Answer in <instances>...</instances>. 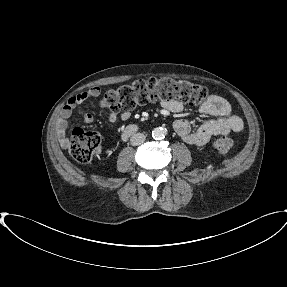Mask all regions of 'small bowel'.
<instances>
[{
	"label": "small bowel",
	"instance_id": "c3829d8e",
	"mask_svg": "<svg viewBox=\"0 0 287 287\" xmlns=\"http://www.w3.org/2000/svg\"><path fill=\"white\" fill-rule=\"evenodd\" d=\"M100 92L98 87L81 92L71 97L63 107L56 123L57 137L63 146L68 144L66 137L68 119L72 116L74 109L88 98L99 96ZM162 106L170 112H179L182 110V104L175 100L163 101ZM200 109L202 112L215 118L205 122L196 130H192L190 123L185 119H179L174 122V130L177 135L190 145L201 147L213 136L226 135L229 132H240L243 129L242 119L233 113L228 101L220 96H212ZM130 116L131 113L127 110L121 113L112 111L108 115V120L110 123H115L119 118L127 120ZM82 118L85 123H92L94 120L93 115L90 113H83Z\"/></svg>",
	"mask_w": 287,
	"mask_h": 287
}]
</instances>
